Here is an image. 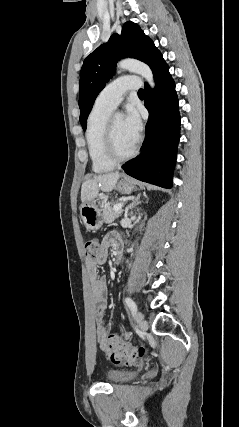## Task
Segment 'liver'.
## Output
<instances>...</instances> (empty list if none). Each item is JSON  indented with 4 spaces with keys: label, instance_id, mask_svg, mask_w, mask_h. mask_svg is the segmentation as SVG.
Here are the masks:
<instances>
[{
    "label": "liver",
    "instance_id": "obj_1",
    "mask_svg": "<svg viewBox=\"0 0 239 427\" xmlns=\"http://www.w3.org/2000/svg\"><path fill=\"white\" fill-rule=\"evenodd\" d=\"M119 178L120 174L113 172L94 176L93 179L86 180L81 187V201L83 203L93 201L97 197L99 190L105 192L112 191Z\"/></svg>",
    "mask_w": 239,
    "mask_h": 427
}]
</instances>
